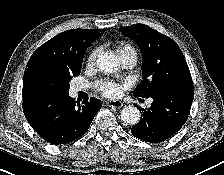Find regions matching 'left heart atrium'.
<instances>
[{"label": "left heart atrium", "instance_id": "obj_1", "mask_svg": "<svg viewBox=\"0 0 224 175\" xmlns=\"http://www.w3.org/2000/svg\"><path fill=\"white\" fill-rule=\"evenodd\" d=\"M123 86L117 82L103 80L97 84V90L106 97H117L121 94Z\"/></svg>", "mask_w": 224, "mask_h": 175}]
</instances>
